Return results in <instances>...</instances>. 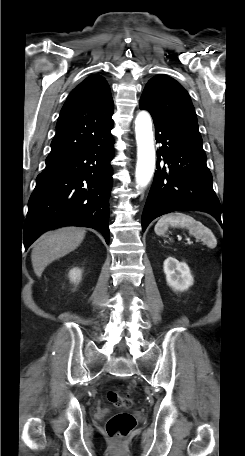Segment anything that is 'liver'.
I'll return each mask as SVG.
<instances>
[{
  "label": "liver",
  "mask_w": 245,
  "mask_h": 456,
  "mask_svg": "<svg viewBox=\"0 0 245 456\" xmlns=\"http://www.w3.org/2000/svg\"><path fill=\"white\" fill-rule=\"evenodd\" d=\"M85 233L83 228L63 227L43 234L34 244L31 253L37 277H41L50 263L75 250L83 241Z\"/></svg>",
  "instance_id": "liver-1"
}]
</instances>
